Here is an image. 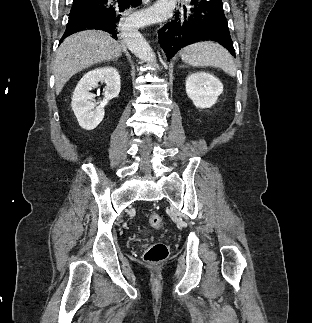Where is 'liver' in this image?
Segmentation results:
<instances>
[{"label":"liver","instance_id":"1","mask_svg":"<svg viewBox=\"0 0 312 323\" xmlns=\"http://www.w3.org/2000/svg\"><path fill=\"white\" fill-rule=\"evenodd\" d=\"M121 50L122 46L111 38V34L102 30H84L65 38L54 62L57 96L72 76L93 64L117 60Z\"/></svg>","mask_w":312,"mask_h":323}]
</instances>
